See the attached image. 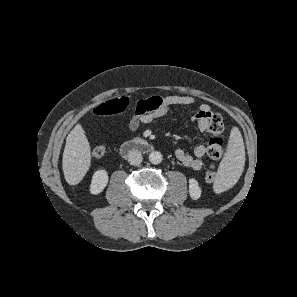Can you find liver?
<instances>
[{"label": "liver", "instance_id": "obj_1", "mask_svg": "<svg viewBox=\"0 0 297 297\" xmlns=\"http://www.w3.org/2000/svg\"><path fill=\"white\" fill-rule=\"evenodd\" d=\"M91 163L90 145L85 132L77 124L66 138L62 167L66 182L77 185L85 176Z\"/></svg>", "mask_w": 297, "mask_h": 297}]
</instances>
